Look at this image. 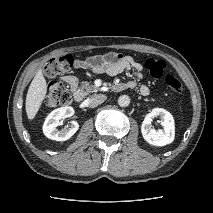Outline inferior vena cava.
I'll return each instance as SVG.
<instances>
[{
  "mask_svg": "<svg viewBox=\"0 0 213 213\" xmlns=\"http://www.w3.org/2000/svg\"><path fill=\"white\" fill-rule=\"evenodd\" d=\"M106 99L107 96L104 94H94L87 98V103L89 107L94 108L103 103Z\"/></svg>",
  "mask_w": 213,
  "mask_h": 213,
  "instance_id": "inferior-vena-cava-1",
  "label": "inferior vena cava"
}]
</instances>
